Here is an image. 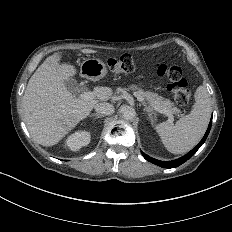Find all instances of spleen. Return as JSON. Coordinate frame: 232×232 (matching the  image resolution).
I'll list each match as a JSON object with an SVG mask.
<instances>
[{
  "mask_svg": "<svg viewBox=\"0 0 232 232\" xmlns=\"http://www.w3.org/2000/svg\"><path fill=\"white\" fill-rule=\"evenodd\" d=\"M195 105L190 114L175 124L163 122L154 126L163 146L171 153L190 150L203 136L211 116V100L203 86L195 91Z\"/></svg>",
  "mask_w": 232,
  "mask_h": 232,
  "instance_id": "obj_1",
  "label": "spleen"
}]
</instances>
